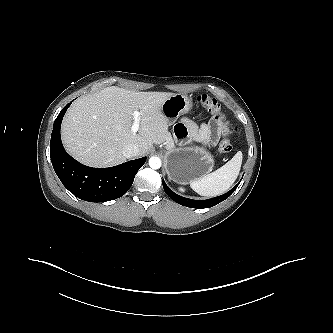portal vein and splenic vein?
<instances>
[{"mask_svg":"<svg viewBox=\"0 0 333 333\" xmlns=\"http://www.w3.org/2000/svg\"><path fill=\"white\" fill-rule=\"evenodd\" d=\"M132 115L134 118V122L131 126V131H132V133L136 134L140 127V118H139L140 112L137 110L133 111Z\"/></svg>","mask_w":333,"mask_h":333,"instance_id":"portal-vein-and-splenic-vein-1","label":"portal vein and splenic vein"}]
</instances>
